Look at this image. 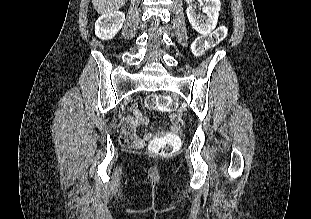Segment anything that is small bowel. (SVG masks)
<instances>
[{"mask_svg": "<svg viewBox=\"0 0 311 219\" xmlns=\"http://www.w3.org/2000/svg\"><path fill=\"white\" fill-rule=\"evenodd\" d=\"M146 121H147L146 118L142 114H140L138 111H135V116L127 119V124H128L129 129H132V128L138 126L139 124L146 123ZM171 128L174 131L178 130V126L174 123L171 125ZM132 138L133 137L131 134L126 135V137H125L127 142H130L132 140Z\"/></svg>", "mask_w": 311, "mask_h": 219, "instance_id": "c3829d8e", "label": "small bowel"}]
</instances>
